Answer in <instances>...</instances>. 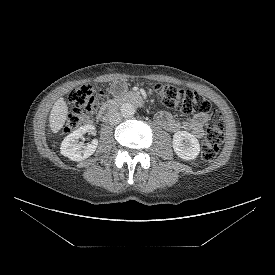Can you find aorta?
<instances>
[{"label": "aorta", "mask_w": 275, "mask_h": 275, "mask_svg": "<svg viewBox=\"0 0 275 275\" xmlns=\"http://www.w3.org/2000/svg\"><path fill=\"white\" fill-rule=\"evenodd\" d=\"M120 111L124 117H132L135 114L136 109L133 104L127 102L121 105Z\"/></svg>", "instance_id": "aorta-1"}]
</instances>
